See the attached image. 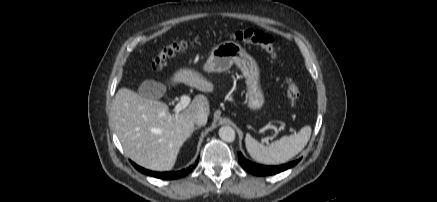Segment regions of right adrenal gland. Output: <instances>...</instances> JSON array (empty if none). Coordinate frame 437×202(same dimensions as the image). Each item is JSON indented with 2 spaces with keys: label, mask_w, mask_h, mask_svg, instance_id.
Returning <instances> with one entry per match:
<instances>
[{
  "label": "right adrenal gland",
  "mask_w": 437,
  "mask_h": 202,
  "mask_svg": "<svg viewBox=\"0 0 437 202\" xmlns=\"http://www.w3.org/2000/svg\"><path fill=\"white\" fill-rule=\"evenodd\" d=\"M199 128H200V126L196 127L195 130H197V129H199Z\"/></svg>",
  "instance_id": "right-adrenal-gland-1"
}]
</instances>
